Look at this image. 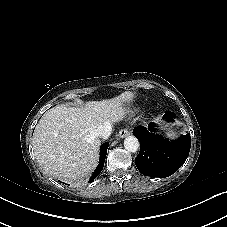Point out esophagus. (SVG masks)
Listing matches in <instances>:
<instances>
[{
    "mask_svg": "<svg viewBox=\"0 0 227 227\" xmlns=\"http://www.w3.org/2000/svg\"><path fill=\"white\" fill-rule=\"evenodd\" d=\"M129 134H130L129 129H128V128H123V129H121V130L119 131L118 136H119L120 138H125V137L128 136Z\"/></svg>",
    "mask_w": 227,
    "mask_h": 227,
    "instance_id": "obj_1",
    "label": "esophagus"
}]
</instances>
